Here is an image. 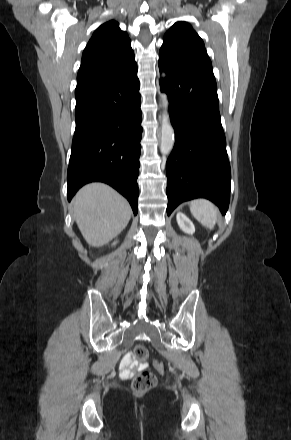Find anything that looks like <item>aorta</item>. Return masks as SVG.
<instances>
[{"mask_svg":"<svg viewBox=\"0 0 291 440\" xmlns=\"http://www.w3.org/2000/svg\"><path fill=\"white\" fill-rule=\"evenodd\" d=\"M165 77V74H162ZM163 103V122H162V137H161V151L165 155H169L173 150L175 144L174 129L170 123V118L168 114V98L166 94H162Z\"/></svg>","mask_w":291,"mask_h":440,"instance_id":"obj_1","label":"aorta"}]
</instances>
